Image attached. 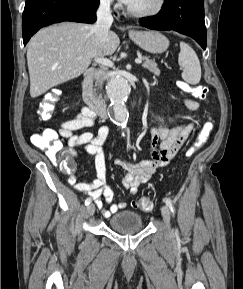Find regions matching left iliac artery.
Segmentation results:
<instances>
[{"label": "left iliac artery", "mask_w": 243, "mask_h": 289, "mask_svg": "<svg viewBox=\"0 0 243 289\" xmlns=\"http://www.w3.org/2000/svg\"><path fill=\"white\" fill-rule=\"evenodd\" d=\"M164 202L166 203V206L173 212V214L175 213V207L172 204L171 200L168 198L164 199Z\"/></svg>", "instance_id": "44dca946"}]
</instances>
